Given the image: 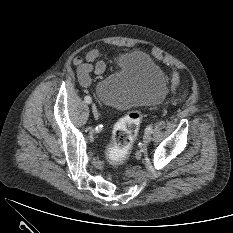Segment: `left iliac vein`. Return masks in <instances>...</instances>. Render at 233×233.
Here are the masks:
<instances>
[{"label":"left iliac vein","mask_w":233,"mask_h":233,"mask_svg":"<svg viewBox=\"0 0 233 233\" xmlns=\"http://www.w3.org/2000/svg\"><path fill=\"white\" fill-rule=\"evenodd\" d=\"M151 139H152L151 133L146 132L144 137H143V142L147 144V143H149L151 141Z\"/></svg>","instance_id":"4c4485c4"}]
</instances>
